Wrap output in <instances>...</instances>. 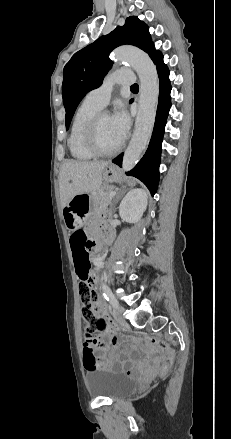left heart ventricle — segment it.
<instances>
[{
  "mask_svg": "<svg viewBox=\"0 0 231 439\" xmlns=\"http://www.w3.org/2000/svg\"><path fill=\"white\" fill-rule=\"evenodd\" d=\"M97 140L104 150H111L120 144L112 125L111 116L104 115L101 118L97 129Z\"/></svg>",
  "mask_w": 231,
  "mask_h": 439,
  "instance_id": "obj_1",
  "label": "left heart ventricle"
}]
</instances>
